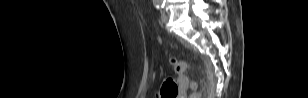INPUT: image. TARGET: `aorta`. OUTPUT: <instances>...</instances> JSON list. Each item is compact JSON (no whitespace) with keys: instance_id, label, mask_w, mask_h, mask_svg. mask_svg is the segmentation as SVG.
<instances>
[{"instance_id":"762f6f07","label":"aorta","mask_w":308,"mask_h":98,"mask_svg":"<svg viewBox=\"0 0 308 98\" xmlns=\"http://www.w3.org/2000/svg\"><path fill=\"white\" fill-rule=\"evenodd\" d=\"M162 2V0H156L157 4H160Z\"/></svg>"}]
</instances>
